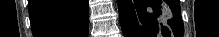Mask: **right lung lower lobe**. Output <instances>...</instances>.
<instances>
[{
  "mask_svg": "<svg viewBox=\"0 0 219 37\" xmlns=\"http://www.w3.org/2000/svg\"><path fill=\"white\" fill-rule=\"evenodd\" d=\"M34 37H87V0H29Z\"/></svg>",
  "mask_w": 219,
  "mask_h": 37,
  "instance_id": "98d812e1",
  "label": "right lung lower lobe"
}]
</instances>
